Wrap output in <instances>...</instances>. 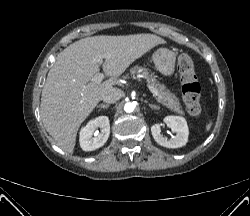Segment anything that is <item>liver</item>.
I'll use <instances>...</instances> for the list:
<instances>
[{
    "label": "liver",
    "instance_id": "obj_1",
    "mask_svg": "<svg viewBox=\"0 0 250 216\" xmlns=\"http://www.w3.org/2000/svg\"><path fill=\"white\" fill-rule=\"evenodd\" d=\"M164 43L154 34L100 35L83 38L60 52L48 72L40 105L44 127L55 144L73 153L77 131L103 92L117 84V77L136 59ZM99 55L104 57L103 71L111 78L95 84Z\"/></svg>",
    "mask_w": 250,
    "mask_h": 216
}]
</instances>
